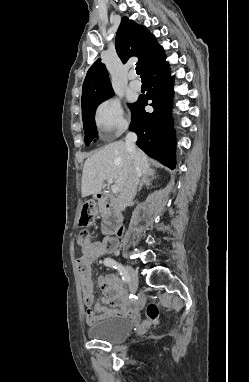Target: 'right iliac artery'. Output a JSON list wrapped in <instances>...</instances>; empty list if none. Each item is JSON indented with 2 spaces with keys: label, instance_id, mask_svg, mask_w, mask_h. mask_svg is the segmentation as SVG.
Instances as JSON below:
<instances>
[{
  "label": "right iliac artery",
  "instance_id": "right-iliac-artery-1",
  "mask_svg": "<svg viewBox=\"0 0 249 382\" xmlns=\"http://www.w3.org/2000/svg\"><path fill=\"white\" fill-rule=\"evenodd\" d=\"M104 264L106 266H108V267L117 269L119 271L120 275L122 276V280L124 282H127L129 280V275H128L126 269L121 264L116 262L114 259H112V258H105Z\"/></svg>",
  "mask_w": 249,
  "mask_h": 382
}]
</instances>
